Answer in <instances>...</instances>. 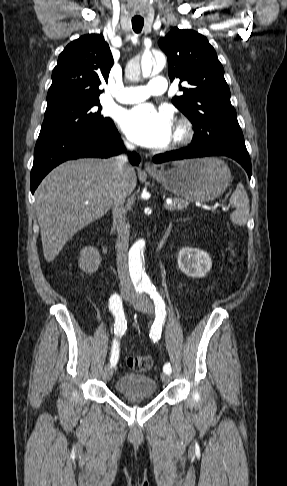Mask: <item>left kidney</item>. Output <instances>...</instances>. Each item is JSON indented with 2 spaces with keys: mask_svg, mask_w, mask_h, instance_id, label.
I'll list each match as a JSON object with an SVG mask.
<instances>
[{
  "mask_svg": "<svg viewBox=\"0 0 287 486\" xmlns=\"http://www.w3.org/2000/svg\"><path fill=\"white\" fill-rule=\"evenodd\" d=\"M177 262L180 270L192 278H203L212 268L210 255L197 248H182Z\"/></svg>",
  "mask_w": 287,
  "mask_h": 486,
  "instance_id": "1",
  "label": "left kidney"
}]
</instances>
